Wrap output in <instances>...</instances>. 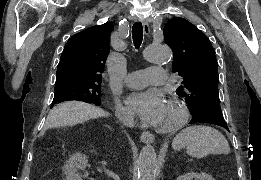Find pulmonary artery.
I'll return each instance as SVG.
<instances>
[{
  "mask_svg": "<svg viewBox=\"0 0 261 180\" xmlns=\"http://www.w3.org/2000/svg\"><path fill=\"white\" fill-rule=\"evenodd\" d=\"M167 73L164 69H144L128 73L125 76L124 82L128 86H135V88H146V83H168Z\"/></svg>",
  "mask_w": 261,
  "mask_h": 180,
  "instance_id": "1",
  "label": "pulmonary artery"
}]
</instances>
